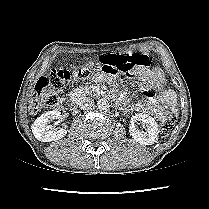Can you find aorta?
<instances>
[{"mask_svg":"<svg viewBox=\"0 0 209 209\" xmlns=\"http://www.w3.org/2000/svg\"><path fill=\"white\" fill-rule=\"evenodd\" d=\"M98 108L102 111H108L110 109V102L106 98H102L97 102Z\"/></svg>","mask_w":209,"mask_h":209,"instance_id":"obj_1","label":"aorta"}]
</instances>
